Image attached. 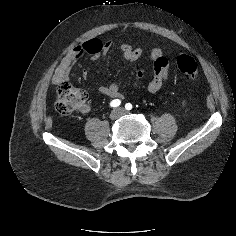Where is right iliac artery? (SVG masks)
Returning <instances> with one entry per match:
<instances>
[{"mask_svg": "<svg viewBox=\"0 0 236 236\" xmlns=\"http://www.w3.org/2000/svg\"><path fill=\"white\" fill-rule=\"evenodd\" d=\"M121 104V101L119 99L112 100L110 103L111 107H118Z\"/></svg>", "mask_w": 236, "mask_h": 236, "instance_id": "82829eb1", "label": "right iliac artery"}]
</instances>
